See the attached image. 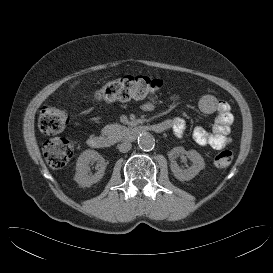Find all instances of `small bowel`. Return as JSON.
<instances>
[{"instance_id": "obj_1", "label": "small bowel", "mask_w": 273, "mask_h": 273, "mask_svg": "<svg viewBox=\"0 0 273 273\" xmlns=\"http://www.w3.org/2000/svg\"><path fill=\"white\" fill-rule=\"evenodd\" d=\"M199 108L205 114H216L215 121L210 130L203 127H195L192 136L199 146H210L215 150H220L230 143L229 129L233 121V115L229 104L220 100L214 95H204L199 101ZM142 109L146 112L154 110L151 102H145ZM166 128L180 138L186 131V122L182 117H173L166 120Z\"/></svg>"}]
</instances>
